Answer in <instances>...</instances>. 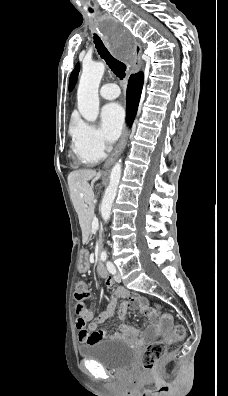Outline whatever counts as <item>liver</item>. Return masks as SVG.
I'll list each match as a JSON object with an SVG mask.
<instances>
[{"label": "liver", "instance_id": "6515ba94", "mask_svg": "<svg viewBox=\"0 0 228 396\" xmlns=\"http://www.w3.org/2000/svg\"><path fill=\"white\" fill-rule=\"evenodd\" d=\"M101 177L95 170H75L68 175V185L75 211L82 229L83 241L87 239L90 221L94 213L93 184ZM92 180V184L88 183Z\"/></svg>", "mask_w": 228, "mask_h": 396}]
</instances>
